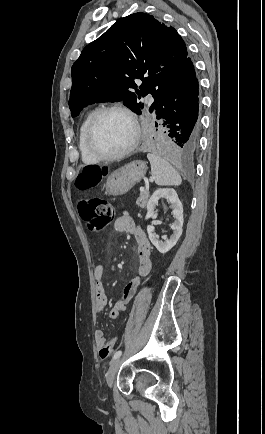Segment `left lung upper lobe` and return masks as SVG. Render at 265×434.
<instances>
[{"instance_id": "left-lung-upper-lobe-1", "label": "left lung upper lobe", "mask_w": 265, "mask_h": 434, "mask_svg": "<svg viewBox=\"0 0 265 434\" xmlns=\"http://www.w3.org/2000/svg\"><path fill=\"white\" fill-rule=\"evenodd\" d=\"M187 58L186 44L177 31L152 15L138 12L117 20L83 49L72 66V117L88 104L114 101L141 114L144 105L137 99L148 93L155 99L152 112ZM135 79L142 80L140 90Z\"/></svg>"}]
</instances>
